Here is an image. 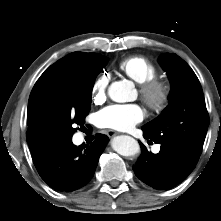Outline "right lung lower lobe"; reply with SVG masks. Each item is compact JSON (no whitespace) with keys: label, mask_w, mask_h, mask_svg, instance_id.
<instances>
[{"label":"right lung lower lobe","mask_w":221,"mask_h":221,"mask_svg":"<svg viewBox=\"0 0 221 221\" xmlns=\"http://www.w3.org/2000/svg\"><path fill=\"white\" fill-rule=\"evenodd\" d=\"M108 140L106 135L97 134L93 143L78 147L71 140L31 152L32 158L47 185L59 191H73L91 180Z\"/></svg>","instance_id":"obj_1"}]
</instances>
